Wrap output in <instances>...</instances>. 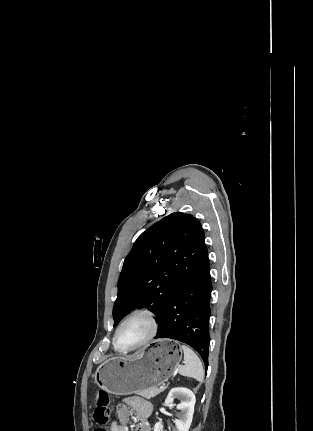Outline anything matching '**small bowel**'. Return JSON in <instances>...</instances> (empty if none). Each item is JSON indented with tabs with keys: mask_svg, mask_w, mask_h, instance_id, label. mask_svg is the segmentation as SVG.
Here are the masks:
<instances>
[{
	"mask_svg": "<svg viewBox=\"0 0 313 431\" xmlns=\"http://www.w3.org/2000/svg\"><path fill=\"white\" fill-rule=\"evenodd\" d=\"M130 410L134 411L139 419L136 431H151L149 417L152 413V406L140 398H128L125 404H117V419L112 423L111 431H129L127 423L130 419Z\"/></svg>",
	"mask_w": 313,
	"mask_h": 431,
	"instance_id": "1",
	"label": "small bowel"
}]
</instances>
